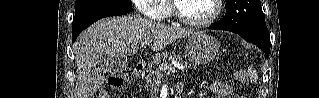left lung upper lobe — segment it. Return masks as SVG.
I'll list each match as a JSON object with an SVG mask.
<instances>
[{"label":"left lung upper lobe","mask_w":319,"mask_h":98,"mask_svg":"<svg viewBox=\"0 0 319 98\" xmlns=\"http://www.w3.org/2000/svg\"><path fill=\"white\" fill-rule=\"evenodd\" d=\"M214 25L238 34L269 36L260 0H226V14Z\"/></svg>","instance_id":"1"}]
</instances>
